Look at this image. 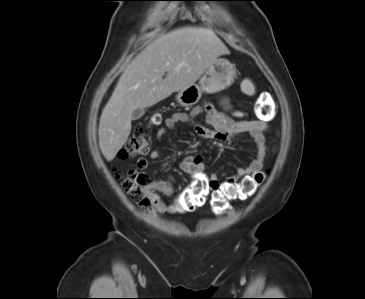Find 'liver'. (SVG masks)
<instances>
[{
    "label": "liver",
    "instance_id": "liver-1",
    "mask_svg": "<svg viewBox=\"0 0 365 299\" xmlns=\"http://www.w3.org/2000/svg\"><path fill=\"white\" fill-rule=\"evenodd\" d=\"M227 54V47L208 27H181L149 44L124 70L102 111L98 136L105 159L112 161L127 142L135 109L151 107L190 87Z\"/></svg>",
    "mask_w": 365,
    "mask_h": 299
}]
</instances>
